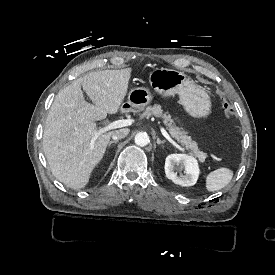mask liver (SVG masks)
Wrapping results in <instances>:
<instances>
[{
  "label": "liver",
  "instance_id": "liver-1",
  "mask_svg": "<svg viewBox=\"0 0 275 275\" xmlns=\"http://www.w3.org/2000/svg\"><path fill=\"white\" fill-rule=\"evenodd\" d=\"M130 75L129 68L90 72L56 95L46 119L43 150L52 174L67 187L84 188L102 160L113 131L91 143L95 121L117 113ZM81 87L94 104L85 101Z\"/></svg>",
  "mask_w": 275,
  "mask_h": 275
}]
</instances>
